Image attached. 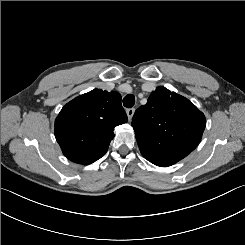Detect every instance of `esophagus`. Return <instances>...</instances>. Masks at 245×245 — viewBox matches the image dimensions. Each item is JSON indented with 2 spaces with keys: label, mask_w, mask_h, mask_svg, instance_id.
Wrapping results in <instances>:
<instances>
[{
  "label": "esophagus",
  "mask_w": 245,
  "mask_h": 245,
  "mask_svg": "<svg viewBox=\"0 0 245 245\" xmlns=\"http://www.w3.org/2000/svg\"><path fill=\"white\" fill-rule=\"evenodd\" d=\"M134 111H135L134 108H128V109L126 110L127 116H128V119H129V120L132 119V117H133V115H134Z\"/></svg>",
  "instance_id": "1"
}]
</instances>
